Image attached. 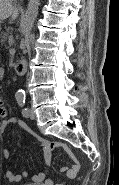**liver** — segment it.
Instances as JSON below:
<instances>
[{"instance_id": "6515ba94", "label": "liver", "mask_w": 119, "mask_h": 185, "mask_svg": "<svg viewBox=\"0 0 119 185\" xmlns=\"http://www.w3.org/2000/svg\"><path fill=\"white\" fill-rule=\"evenodd\" d=\"M14 0H0V21L11 17V22L19 15L18 8L13 5Z\"/></svg>"}]
</instances>
